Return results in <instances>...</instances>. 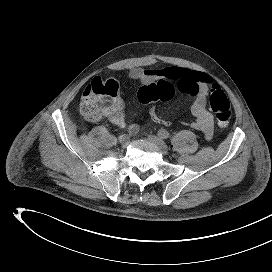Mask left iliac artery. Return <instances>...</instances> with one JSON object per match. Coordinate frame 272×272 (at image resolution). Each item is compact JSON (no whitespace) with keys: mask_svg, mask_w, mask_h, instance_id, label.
Segmentation results:
<instances>
[{"mask_svg":"<svg viewBox=\"0 0 272 272\" xmlns=\"http://www.w3.org/2000/svg\"><path fill=\"white\" fill-rule=\"evenodd\" d=\"M158 136H159L160 138H162V139H167V138H169V133H168V131H166L165 129H160V130L158 131Z\"/></svg>","mask_w":272,"mask_h":272,"instance_id":"obj_1","label":"left iliac artery"}]
</instances>
